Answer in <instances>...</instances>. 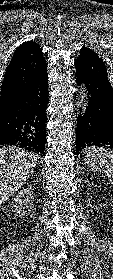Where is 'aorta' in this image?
I'll list each match as a JSON object with an SVG mask.
<instances>
[{
	"label": "aorta",
	"mask_w": 113,
	"mask_h": 279,
	"mask_svg": "<svg viewBox=\"0 0 113 279\" xmlns=\"http://www.w3.org/2000/svg\"><path fill=\"white\" fill-rule=\"evenodd\" d=\"M89 94L84 85L79 87L77 104L81 111H85L88 106Z\"/></svg>",
	"instance_id": "1"
}]
</instances>
